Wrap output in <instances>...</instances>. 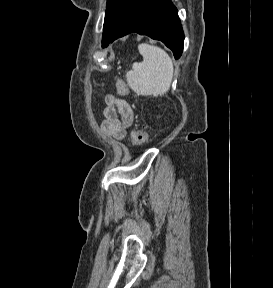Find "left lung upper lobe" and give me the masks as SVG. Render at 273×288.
<instances>
[{
	"label": "left lung upper lobe",
	"mask_w": 273,
	"mask_h": 288,
	"mask_svg": "<svg viewBox=\"0 0 273 288\" xmlns=\"http://www.w3.org/2000/svg\"><path fill=\"white\" fill-rule=\"evenodd\" d=\"M132 0H108L103 27L102 45L113 36L118 23Z\"/></svg>",
	"instance_id": "5c2ea615"
}]
</instances>
